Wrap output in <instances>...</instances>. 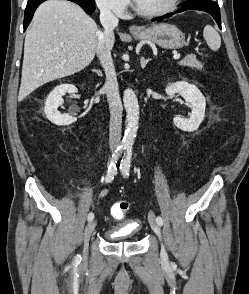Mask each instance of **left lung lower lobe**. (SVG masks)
Here are the masks:
<instances>
[{
	"mask_svg": "<svg viewBox=\"0 0 249 294\" xmlns=\"http://www.w3.org/2000/svg\"><path fill=\"white\" fill-rule=\"evenodd\" d=\"M190 9L201 10L209 13L216 20L219 28H221L220 8L219 5L212 0H191L184 2L183 6L176 12L163 17L155 18L153 19V21H159L168 18L175 13L183 12Z\"/></svg>",
	"mask_w": 249,
	"mask_h": 294,
	"instance_id": "left-lung-lower-lobe-1",
	"label": "left lung lower lobe"
}]
</instances>
